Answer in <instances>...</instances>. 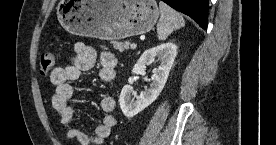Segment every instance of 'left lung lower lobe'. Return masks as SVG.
Instances as JSON below:
<instances>
[{
	"instance_id": "1",
	"label": "left lung lower lobe",
	"mask_w": 276,
	"mask_h": 145,
	"mask_svg": "<svg viewBox=\"0 0 276 145\" xmlns=\"http://www.w3.org/2000/svg\"><path fill=\"white\" fill-rule=\"evenodd\" d=\"M172 8L193 18L201 28L208 24V0H162Z\"/></svg>"
}]
</instances>
